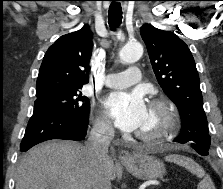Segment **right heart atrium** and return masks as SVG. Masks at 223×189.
Listing matches in <instances>:
<instances>
[{
    "label": "right heart atrium",
    "mask_w": 223,
    "mask_h": 189,
    "mask_svg": "<svg viewBox=\"0 0 223 189\" xmlns=\"http://www.w3.org/2000/svg\"><path fill=\"white\" fill-rule=\"evenodd\" d=\"M94 129L102 135H110L112 133L110 122L101 114L97 115L94 120Z\"/></svg>",
    "instance_id": "right-heart-atrium-1"
}]
</instances>
